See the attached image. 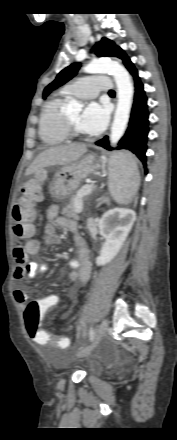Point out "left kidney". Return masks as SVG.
Returning a JSON list of instances; mask_svg holds the SVG:
<instances>
[{
	"label": "left kidney",
	"instance_id": "5707ae66",
	"mask_svg": "<svg viewBox=\"0 0 177 440\" xmlns=\"http://www.w3.org/2000/svg\"><path fill=\"white\" fill-rule=\"evenodd\" d=\"M133 214L123 208H114L107 211L99 222L102 231L110 229L107 241L101 249L100 255L96 258L98 266L111 262L121 249L132 224L129 222ZM119 220V224L115 221Z\"/></svg>",
	"mask_w": 177,
	"mask_h": 440
}]
</instances>
